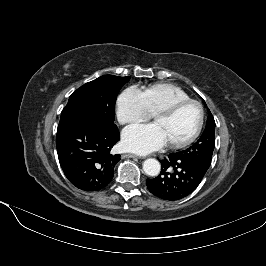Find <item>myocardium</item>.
<instances>
[{"instance_id":"1","label":"myocardium","mask_w":266,"mask_h":266,"mask_svg":"<svg viewBox=\"0 0 266 266\" xmlns=\"http://www.w3.org/2000/svg\"><path fill=\"white\" fill-rule=\"evenodd\" d=\"M188 104H194L198 108L199 120H198L197 126H196L195 130L192 132V134L190 136H188L187 138H185L181 141L168 143V146L171 148L185 147V146L191 144L199 136V134L202 130L203 124H204V117H205L204 108H203L202 104L199 101L194 100V99L181 100V101L174 102L171 105H169V106H167V107H165V108H163V109H161V110H159L153 114V120L155 121L159 117H167V116L174 114L181 107L188 105Z\"/></svg>"}]
</instances>
